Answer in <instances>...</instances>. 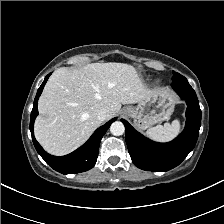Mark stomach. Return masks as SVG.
Masks as SVG:
<instances>
[{
  "instance_id": "1",
  "label": "stomach",
  "mask_w": 224,
  "mask_h": 224,
  "mask_svg": "<svg viewBox=\"0 0 224 224\" xmlns=\"http://www.w3.org/2000/svg\"><path fill=\"white\" fill-rule=\"evenodd\" d=\"M175 96L169 89L158 90L154 95L138 102L137 106H127V115L133 119L139 130L168 120L174 111Z\"/></svg>"
}]
</instances>
